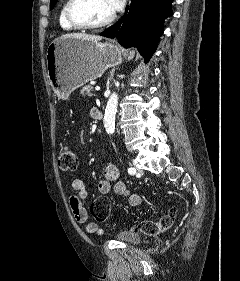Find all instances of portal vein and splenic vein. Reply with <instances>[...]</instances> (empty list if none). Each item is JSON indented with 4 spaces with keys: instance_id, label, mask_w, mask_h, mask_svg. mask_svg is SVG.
Returning <instances> with one entry per match:
<instances>
[{
    "instance_id": "18ae733b",
    "label": "portal vein and splenic vein",
    "mask_w": 240,
    "mask_h": 281,
    "mask_svg": "<svg viewBox=\"0 0 240 281\" xmlns=\"http://www.w3.org/2000/svg\"><path fill=\"white\" fill-rule=\"evenodd\" d=\"M95 89H96L97 91H99V90H100V87H95Z\"/></svg>"
}]
</instances>
